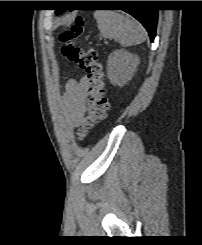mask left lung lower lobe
Listing matches in <instances>:
<instances>
[{
  "label": "left lung lower lobe",
  "instance_id": "obj_1",
  "mask_svg": "<svg viewBox=\"0 0 202 245\" xmlns=\"http://www.w3.org/2000/svg\"><path fill=\"white\" fill-rule=\"evenodd\" d=\"M132 6H137L136 8H131L128 10H124L129 13L133 17H135L138 21L142 23V25L146 28L149 33L151 42H153L155 34H156V26H157V10L156 9H144L139 8L143 4V1H130ZM65 10H56V14L59 15L63 13Z\"/></svg>",
  "mask_w": 202,
  "mask_h": 245
}]
</instances>
